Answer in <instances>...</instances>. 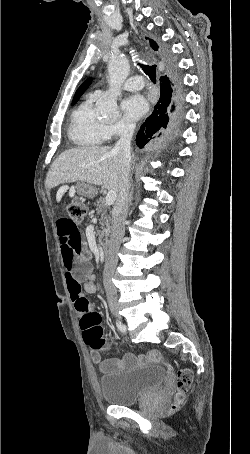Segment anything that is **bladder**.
Here are the masks:
<instances>
[{
	"mask_svg": "<svg viewBox=\"0 0 250 454\" xmlns=\"http://www.w3.org/2000/svg\"><path fill=\"white\" fill-rule=\"evenodd\" d=\"M163 380V367L148 365L139 369L106 374L100 377L99 388L106 403L130 406L157 391Z\"/></svg>",
	"mask_w": 250,
	"mask_h": 454,
	"instance_id": "1",
	"label": "bladder"
}]
</instances>
